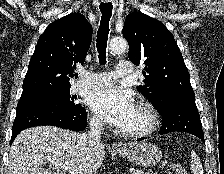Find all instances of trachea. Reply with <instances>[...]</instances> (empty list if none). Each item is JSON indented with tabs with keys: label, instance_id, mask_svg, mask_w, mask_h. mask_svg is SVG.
Instances as JSON below:
<instances>
[{
	"label": "trachea",
	"instance_id": "3493384b",
	"mask_svg": "<svg viewBox=\"0 0 224 174\" xmlns=\"http://www.w3.org/2000/svg\"><path fill=\"white\" fill-rule=\"evenodd\" d=\"M112 3H101L100 11L102 13L100 27L97 34V51L99 54V61L101 64H105L107 40L109 34V22L112 16Z\"/></svg>",
	"mask_w": 224,
	"mask_h": 174
}]
</instances>
